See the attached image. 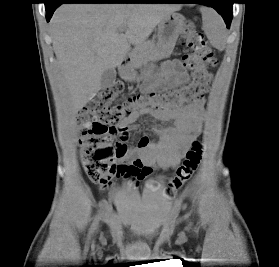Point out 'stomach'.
I'll return each mask as SVG.
<instances>
[{
    "label": "stomach",
    "mask_w": 279,
    "mask_h": 267,
    "mask_svg": "<svg viewBox=\"0 0 279 267\" xmlns=\"http://www.w3.org/2000/svg\"><path fill=\"white\" fill-rule=\"evenodd\" d=\"M186 28V19L179 13H170L158 24V49L164 54L168 53L173 49L179 35L183 34ZM153 64H145L141 69L140 75L133 68L128 65L121 69V77L128 82H136L142 79L149 78L150 74L154 70Z\"/></svg>",
    "instance_id": "1"
}]
</instances>
